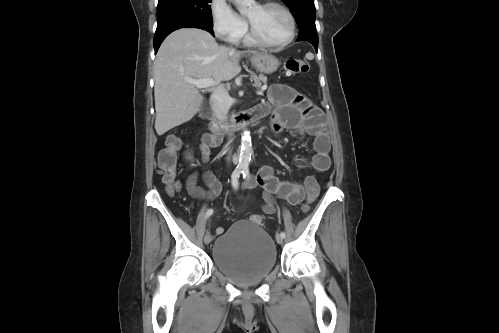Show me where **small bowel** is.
Segmentation results:
<instances>
[{"label":"small bowel","mask_w":499,"mask_h":333,"mask_svg":"<svg viewBox=\"0 0 499 333\" xmlns=\"http://www.w3.org/2000/svg\"><path fill=\"white\" fill-rule=\"evenodd\" d=\"M268 98V103L259 106L265 110L266 114L270 113L273 106L276 107L271 115L273 132L279 134L285 129H291L299 134L311 136L315 152L312 166L317 172L327 171L331 164L330 140L321 109L304 94L285 84H272L268 90ZM221 139L212 134L203 136L200 145L203 162L208 161L210 149L218 146ZM202 178L209 188L208 191L198 186L196 172L190 174L187 179V189L194 198L213 199L221 194L222 184L211 171L204 170ZM257 186L264 190L261 209L268 215L275 212L276 197L285 200L290 205H297L305 196V190L301 184L280 181L269 166L260 168L252 181L243 184L244 189ZM223 231V227L217 228L218 233Z\"/></svg>","instance_id":"1"}]
</instances>
